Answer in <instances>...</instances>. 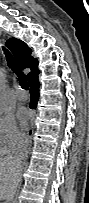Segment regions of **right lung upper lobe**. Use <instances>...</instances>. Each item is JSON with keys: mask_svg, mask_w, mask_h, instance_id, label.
Wrapping results in <instances>:
<instances>
[{"mask_svg": "<svg viewBox=\"0 0 89 203\" xmlns=\"http://www.w3.org/2000/svg\"><path fill=\"white\" fill-rule=\"evenodd\" d=\"M6 46L11 50L18 65L22 69H31V72L27 75L28 81L39 74V70L37 68L38 61L31 56L32 50L26 43L16 38H10L7 40Z\"/></svg>", "mask_w": 89, "mask_h": 203, "instance_id": "1", "label": "right lung upper lobe"}]
</instances>
